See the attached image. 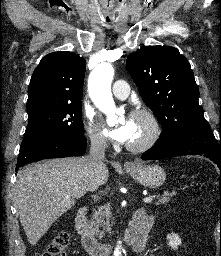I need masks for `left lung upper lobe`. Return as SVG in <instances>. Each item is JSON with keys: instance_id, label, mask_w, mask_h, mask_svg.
Segmentation results:
<instances>
[{"instance_id": "5c2ea615", "label": "left lung upper lobe", "mask_w": 221, "mask_h": 256, "mask_svg": "<svg viewBox=\"0 0 221 256\" xmlns=\"http://www.w3.org/2000/svg\"><path fill=\"white\" fill-rule=\"evenodd\" d=\"M126 67L145 104L163 126L160 136L178 128L209 126L198 103L199 90L188 60L171 46H148L127 57Z\"/></svg>"}]
</instances>
